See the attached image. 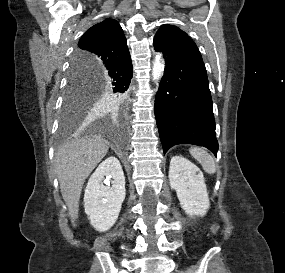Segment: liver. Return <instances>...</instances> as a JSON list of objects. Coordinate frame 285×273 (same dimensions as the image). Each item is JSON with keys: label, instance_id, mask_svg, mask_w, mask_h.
Wrapping results in <instances>:
<instances>
[{"label": "liver", "instance_id": "1", "mask_svg": "<svg viewBox=\"0 0 285 273\" xmlns=\"http://www.w3.org/2000/svg\"><path fill=\"white\" fill-rule=\"evenodd\" d=\"M108 150V141L91 137L71 140L60 147L55 155V172L74 226L83 184Z\"/></svg>", "mask_w": 285, "mask_h": 273}]
</instances>
